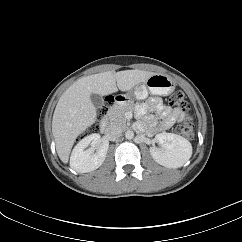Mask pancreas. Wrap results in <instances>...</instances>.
I'll list each match as a JSON object with an SVG mask.
<instances>
[{"instance_id":"pancreas-1","label":"pancreas","mask_w":242,"mask_h":242,"mask_svg":"<svg viewBox=\"0 0 242 242\" xmlns=\"http://www.w3.org/2000/svg\"><path fill=\"white\" fill-rule=\"evenodd\" d=\"M133 104L115 105L107 112V118L111 124H116L122 129L127 127L125 113L133 110Z\"/></svg>"}]
</instances>
